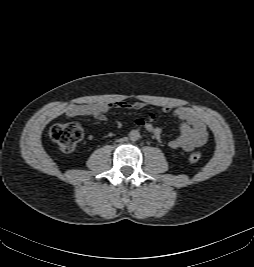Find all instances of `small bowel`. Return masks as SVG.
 <instances>
[{
    "label": "small bowel",
    "instance_id": "small-bowel-1",
    "mask_svg": "<svg viewBox=\"0 0 254 267\" xmlns=\"http://www.w3.org/2000/svg\"><path fill=\"white\" fill-rule=\"evenodd\" d=\"M146 107L144 102H97L86 104H72L67 108L66 117L71 119L80 116H90L98 120H105L106 114L116 108H124L139 111ZM163 113H169L171 108L161 107ZM172 115L181 122L179 135L169 142L172 149H182L186 152L204 145L208 139L206 124L201 116L194 110L187 107H179L172 110ZM155 114L148 113L144 117L135 119L134 123L138 127H143L150 132L157 140L162 138V129L154 125Z\"/></svg>",
    "mask_w": 254,
    "mask_h": 267
}]
</instances>
